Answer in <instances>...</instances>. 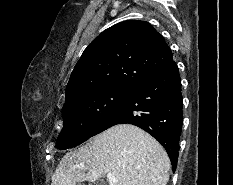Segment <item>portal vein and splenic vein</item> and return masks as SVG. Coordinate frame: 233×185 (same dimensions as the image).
Returning <instances> with one entry per match:
<instances>
[{
  "label": "portal vein and splenic vein",
  "mask_w": 233,
  "mask_h": 185,
  "mask_svg": "<svg viewBox=\"0 0 233 185\" xmlns=\"http://www.w3.org/2000/svg\"><path fill=\"white\" fill-rule=\"evenodd\" d=\"M77 167L78 168H81V169H84L85 168V166L84 165H77ZM107 179H108V181L112 184V185H114L115 183H116V179H115V177H114V175L112 174V173H108L107 174Z\"/></svg>",
  "instance_id": "obj_1"
}]
</instances>
